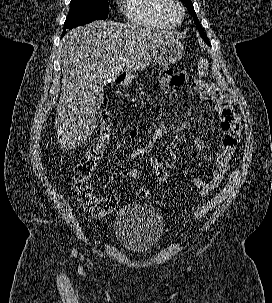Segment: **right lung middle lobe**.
Here are the masks:
<instances>
[{"mask_svg":"<svg viewBox=\"0 0 272 303\" xmlns=\"http://www.w3.org/2000/svg\"><path fill=\"white\" fill-rule=\"evenodd\" d=\"M108 13V0H71L62 35L66 33V30L77 26L95 20H105L108 17Z\"/></svg>","mask_w":272,"mask_h":303,"instance_id":"right-lung-middle-lobe-1","label":"right lung middle lobe"}]
</instances>
